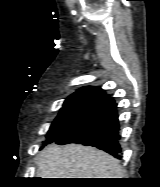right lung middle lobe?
<instances>
[{"instance_id": "right-lung-middle-lobe-1", "label": "right lung middle lobe", "mask_w": 160, "mask_h": 187, "mask_svg": "<svg viewBox=\"0 0 160 187\" xmlns=\"http://www.w3.org/2000/svg\"><path fill=\"white\" fill-rule=\"evenodd\" d=\"M96 105H65L53 121L44 143H51L69 134L86 121L95 111Z\"/></svg>"}]
</instances>
